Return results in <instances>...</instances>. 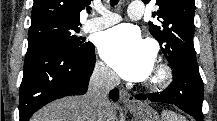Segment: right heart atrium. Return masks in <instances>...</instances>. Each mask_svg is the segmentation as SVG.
Masks as SVG:
<instances>
[{
	"instance_id": "1",
	"label": "right heart atrium",
	"mask_w": 217,
	"mask_h": 121,
	"mask_svg": "<svg viewBox=\"0 0 217 121\" xmlns=\"http://www.w3.org/2000/svg\"><path fill=\"white\" fill-rule=\"evenodd\" d=\"M95 75L102 81L110 82L114 80V74L111 70L101 61L95 65Z\"/></svg>"
}]
</instances>
